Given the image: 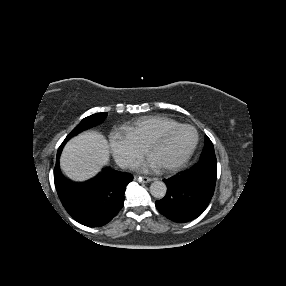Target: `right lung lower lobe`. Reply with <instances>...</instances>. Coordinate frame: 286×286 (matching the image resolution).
<instances>
[{
	"mask_svg": "<svg viewBox=\"0 0 286 286\" xmlns=\"http://www.w3.org/2000/svg\"><path fill=\"white\" fill-rule=\"evenodd\" d=\"M64 143L58 149L54 169V182L58 196L71 217L88 227L108 223L124 204L126 186L133 176L105 168L93 179L76 183L65 178L59 168V156Z\"/></svg>",
	"mask_w": 286,
	"mask_h": 286,
	"instance_id": "98d812e1",
	"label": "right lung lower lobe"
}]
</instances>
